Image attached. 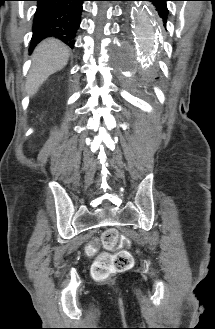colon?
I'll list each match as a JSON object with an SVG mask.
<instances>
[{
  "label": "colon",
  "mask_w": 215,
  "mask_h": 329,
  "mask_svg": "<svg viewBox=\"0 0 215 329\" xmlns=\"http://www.w3.org/2000/svg\"><path fill=\"white\" fill-rule=\"evenodd\" d=\"M126 242L121 239L114 228H109L101 236V243L107 250L115 249L119 243ZM96 243H92L88 252L95 251ZM133 264L132 255L125 250L114 254L101 253L92 266V276L97 281H103L115 272H121L130 268Z\"/></svg>",
  "instance_id": "colon-1"
}]
</instances>
